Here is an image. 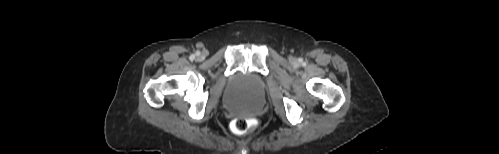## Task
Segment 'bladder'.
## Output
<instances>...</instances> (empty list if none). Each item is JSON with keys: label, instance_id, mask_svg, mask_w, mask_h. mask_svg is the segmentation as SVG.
Segmentation results:
<instances>
[{"label": "bladder", "instance_id": "obj_1", "mask_svg": "<svg viewBox=\"0 0 499 154\" xmlns=\"http://www.w3.org/2000/svg\"><path fill=\"white\" fill-rule=\"evenodd\" d=\"M262 84L253 74L239 75L226 97V106L236 112L251 114L260 108Z\"/></svg>", "mask_w": 499, "mask_h": 154}]
</instances>
